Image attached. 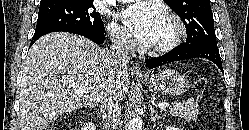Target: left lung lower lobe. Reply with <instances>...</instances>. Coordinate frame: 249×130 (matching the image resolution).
<instances>
[{
  "mask_svg": "<svg viewBox=\"0 0 249 130\" xmlns=\"http://www.w3.org/2000/svg\"><path fill=\"white\" fill-rule=\"evenodd\" d=\"M206 58L214 62L220 70L223 72L221 57L217 46L198 44V45H181L170 52L163 55L158 59L146 60V65L148 68H155L170 62L187 60L192 58ZM224 74V72H223Z\"/></svg>",
  "mask_w": 249,
  "mask_h": 130,
  "instance_id": "1",
  "label": "left lung lower lobe"
}]
</instances>
